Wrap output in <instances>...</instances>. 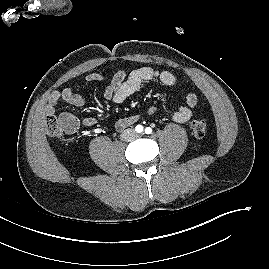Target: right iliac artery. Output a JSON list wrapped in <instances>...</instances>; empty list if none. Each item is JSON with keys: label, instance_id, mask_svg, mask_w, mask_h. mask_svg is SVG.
<instances>
[{"label": "right iliac artery", "instance_id": "right-iliac-artery-1", "mask_svg": "<svg viewBox=\"0 0 269 269\" xmlns=\"http://www.w3.org/2000/svg\"><path fill=\"white\" fill-rule=\"evenodd\" d=\"M135 130L138 132V133H141L143 131V126L142 125H137L135 127Z\"/></svg>", "mask_w": 269, "mask_h": 269}]
</instances>
